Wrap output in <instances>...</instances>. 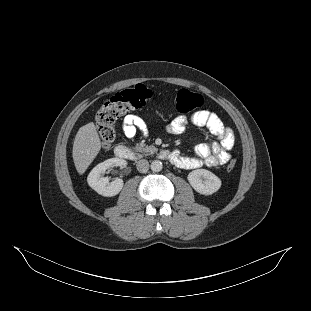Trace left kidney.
Instances as JSON below:
<instances>
[{"instance_id":"left-kidney-1","label":"left kidney","mask_w":311,"mask_h":311,"mask_svg":"<svg viewBox=\"0 0 311 311\" xmlns=\"http://www.w3.org/2000/svg\"><path fill=\"white\" fill-rule=\"evenodd\" d=\"M188 180L194 189L202 194H212L221 185L220 179L206 169H197L188 175Z\"/></svg>"}]
</instances>
